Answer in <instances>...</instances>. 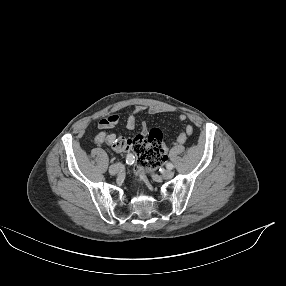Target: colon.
Returning <instances> with one entry per match:
<instances>
[{"mask_svg": "<svg viewBox=\"0 0 286 286\" xmlns=\"http://www.w3.org/2000/svg\"><path fill=\"white\" fill-rule=\"evenodd\" d=\"M112 146L117 151H132L142 171L154 169L166 157L163 143V133L159 128H152L146 136L138 135L132 139L117 137Z\"/></svg>", "mask_w": 286, "mask_h": 286, "instance_id": "colon-1", "label": "colon"}]
</instances>
